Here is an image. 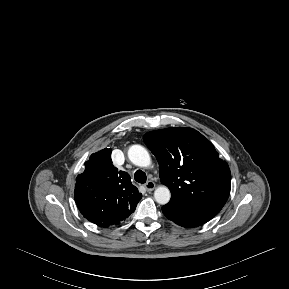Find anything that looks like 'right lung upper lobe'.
Wrapping results in <instances>:
<instances>
[{
	"label": "right lung upper lobe",
	"instance_id": "right-lung-upper-lobe-1",
	"mask_svg": "<svg viewBox=\"0 0 289 289\" xmlns=\"http://www.w3.org/2000/svg\"><path fill=\"white\" fill-rule=\"evenodd\" d=\"M111 152L105 148L92 154L85 162L84 172L76 178V205L93 223L111 221L133 211L142 198L129 175L113 166Z\"/></svg>",
	"mask_w": 289,
	"mask_h": 289
}]
</instances>
